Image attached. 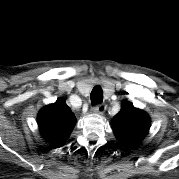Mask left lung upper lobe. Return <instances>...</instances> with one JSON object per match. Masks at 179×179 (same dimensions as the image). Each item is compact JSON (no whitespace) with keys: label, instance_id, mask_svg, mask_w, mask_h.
Segmentation results:
<instances>
[{"label":"left lung upper lobe","instance_id":"5c2ea615","mask_svg":"<svg viewBox=\"0 0 179 179\" xmlns=\"http://www.w3.org/2000/svg\"><path fill=\"white\" fill-rule=\"evenodd\" d=\"M149 128V116L127 101L123 102L120 112L112 121V129L116 138L127 146L140 142L148 134Z\"/></svg>","mask_w":179,"mask_h":179}]
</instances>
